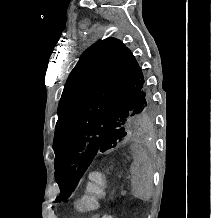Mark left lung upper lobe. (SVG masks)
<instances>
[{
    "label": "left lung upper lobe",
    "mask_w": 211,
    "mask_h": 218,
    "mask_svg": "<svg viewBox=\"0 0 211 218\" xmlns=\"http://www.w3.org/2000/svg\"><path fill=\"white\" fill-rule=\"evenodd\" d=\"M154 109L147 80L118 39L89 47L70 73L58 107L53 149L56 202L69 198L99 152L150 125Z\"/></svg>",
    "instance_id": "1"
}]
</instances>
